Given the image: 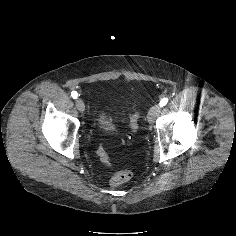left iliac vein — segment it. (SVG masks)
<instances>
[{
	"mask_svg": "<svg viewBox=\"0 0 236 236\" xmlns=\"http://www.w3.org/2000/svg\"><path fill=\"white\" fill-rule=\"evenodd\" d=\"M161 107L159 105H154L150 108L147 119L149 123H153L155 119L159 116Z\"/></svg>",
	"mask_w": 236,
	"mask_h": 236,
	"instance_id": "obj_1",
	"label": "left iliac vein"
}]
</instances>
